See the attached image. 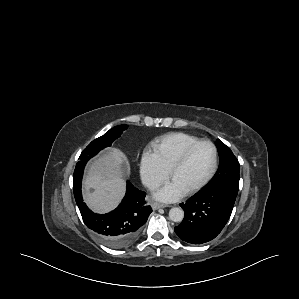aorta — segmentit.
Masks as SVG:
<instances>
[{
	"instance_id": "aorta-1",
	"label": "aorta",
	"mask_w": 299,
	"mask_h": 299,
	"mask_svg": "<svg viewBox=\"0 0 299 299\" xmlns=\"http://www.w3.org/2000/svg\"><path fill=\"white\" fill-rule=\"evenodd\" d=\"M169 218L173 222H181L184 218V211L178 207L171 208L169 211Z\"/></svg>"
}]
</instances>
